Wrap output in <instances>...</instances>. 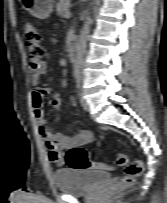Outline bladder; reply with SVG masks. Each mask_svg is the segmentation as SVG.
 I'll list each match as a JSON object with an SVG mask.
<instances>
[{"label":"bladder","mask_w":167,"mask_h":203,"mask_svg":"<svg viewBox=\"0 0 167 203\" xmlns=\"http://www.w3.org/2000/svg\"><path fill=\"white\" fill-rule=\"evenodd\" d=\"M56 188L70 195H81L94 190L97 186L111 179V175L98 170H75L61 168L53 172Z\"/></svg>","instance_id":"1"}]
</instances>
